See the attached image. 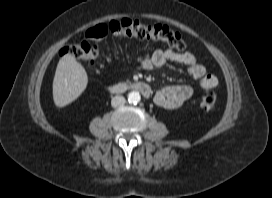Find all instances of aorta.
Wrapping results in <instances>:
<instances>
[{
  "mask_svg": "<svg viewBox=\"0 0 272 198\" xmlns=\"http://www.w3.org/2000/svg\"><path fill=\"white\" fill-rule=\"evenodd\" d=\"M141 100V96L139 92L132 91L128 94V101L132 104H137Z\"/></svg>",
  "mask_w": 272,
  "mask_h": 198,
  "instance_id": "aorta-1",
  "label": "aorta"
}]
</instances>
